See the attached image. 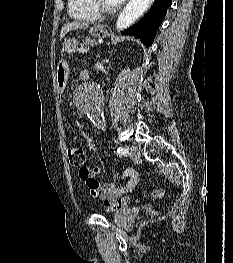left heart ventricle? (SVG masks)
Returning <instances> with one entry per match:
<instances>
[{"mask_svg":"<svg viewBox=\"0 0 233 263\" xmlns=\"http://www.w3.org/2000/svg\"><path fill=\"white\" fill-rule=\"evenodd\" d=\"M103 4L107 5V6H114L116 5L114 0H102Z\"/></svg>","mask_w":233,"mask_h":263,"instance_id":"obj_1","label":"left heart ventricle"}]
</instances>
